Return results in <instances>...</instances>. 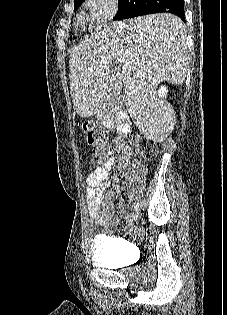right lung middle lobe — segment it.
<instances>
[{"instance_id":"dd1d6c3e","label":"right lung middle lobe","mask_w":227,"mask_h":315,"mask_svg":"<svg viewBox=\"0 0 227 315\" xmlns=\"http://www.w3.org/2000/svg\"><path fill=\"white\" fill-rule=\"evenodd\" d=\"M141 0H119L118 2V9L121 8L122 6L124 5H127L129 3L133 4L134 2H139ZM82 2H84V0H77V1H74V11L77 10L79 8V6L82 4ZM115 20V18H114Z\"/></svg>"}]
</instances>
